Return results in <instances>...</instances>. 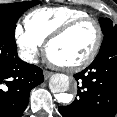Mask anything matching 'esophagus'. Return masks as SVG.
Wrapping results in <instances>:
<instances>
[{
  "label": "esophagus",
  "instance_id": "34e87169",
  "mask_svg": "<svg viewBox=\"0 0 117 117\" xmlns=\"http://www.w3.org/2000/svg\"><path fill=\"white\" fill-rule=\"evenodd\" d=\"M43 75L45 80H47L52 75V72L44 70Z\"/></svg>",
  "mask_w": 117,
  "mask_h": 117
}]
</instances>
